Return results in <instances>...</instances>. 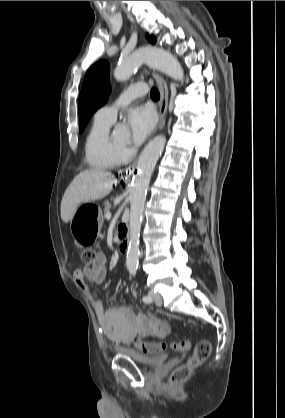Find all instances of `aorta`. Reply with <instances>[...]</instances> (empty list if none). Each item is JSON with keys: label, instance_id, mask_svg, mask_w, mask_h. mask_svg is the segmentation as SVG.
I'll use <instances>...</instances> for the list:
<instances>
[{"label": "aorta", "instance_id": "762f6f07", "mask_svg": "<svg viewBox=\"0 0 285 418\" xmlns=\"http://www.w3.org/2000/svg\"><path fill=\"white\" fill-rule=\"evenodd\" d=\"M143 62L176 81H182L184 78V72L180 63L171 53L160 48L150 47L139 49L123 58L114 70L115 79L126 81ZM165 143V136H157L145 146L137 163V173L132 180L129 243L126 257V266L130 273H135L138 268L140 254L139 237L147 190L151 175L164 150Z\"/></svg>", "mask_w": 285, "mask_h": 418}]
</instances>
